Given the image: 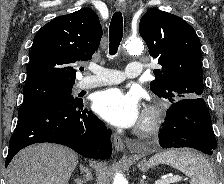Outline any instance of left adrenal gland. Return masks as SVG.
I'll list each match as a JSON object with an SVG mask.
<instances>
[{"instance_id": "1", "label": "left adrenal gland", "mask_w": 224, "mask_h": 184, "mask_svg": "<svg viewBox=\"0 0 224 184\" xmlns=\"http://www.w3.org/2000/svg\"><path fill=\"white\" fill-rule=\"evenodd\" d=\"M139 184H144V180L140 179V183Z\"/></svg>"}]
</instances>
